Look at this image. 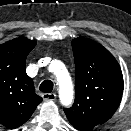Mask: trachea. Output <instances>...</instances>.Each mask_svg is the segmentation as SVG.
Returning a JSON list of instances; mask_svg holds the SVG:
<instances>
[{
  "instance_id": "3493384b",
  "label": "trachea",
  "mask_w": 131,
  "mask_h": 131,
  "mask_svg": "<svg viewBox=\"0 0 131 131\" xmlns=\"http://www.w3.org/2000/svg\"><path fill=\"white\" fill-rule=\"evenodd\" d=\"M53 82L50 80H45L40 84L39 90L44 93H51L53 90Z\"/></svg>"
}]
</instances>
